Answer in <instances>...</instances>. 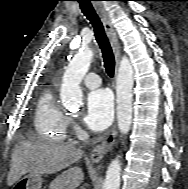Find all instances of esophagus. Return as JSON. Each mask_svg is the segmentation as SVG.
<instances>
[{
	"mask_svg": "<svg viewBox=\"0 0 188 189\" xmlns=\"http://www.w3.org/2000/svg\"><path fill=\"white\" fill-rule=\"evenodd\" d=\"M94 6L96 7L101 17L106 33L110 40L113 53L115 56V75H117L119 62H120V45H119L118 37L112 25L111 19L107 11L105 10L103 4L99 1H96L94 2ZM116 135H117V130L116 127H114L111 133L108 135V137L105 138V140L101 144L93 148V150L90 153V159L92 162L97 163L103 159L105 154L112 148Z\"/></svg>",
	"mask_w": 188,
	"mask_h": 189,
	"instance_id": "34e87169",
	"label": "esophagus"
}]
</instances>
